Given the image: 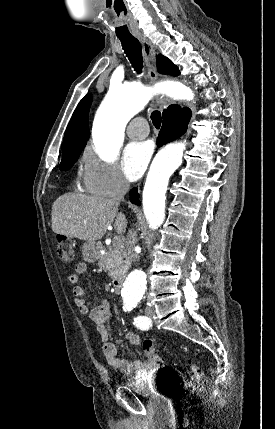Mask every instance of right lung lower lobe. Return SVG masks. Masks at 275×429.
<instances>
[{
  "instance_id": "right-lung-lower-lobe-1",
  "label": "right lung lower lobe",
  "mask_w": 275,
  "mask_h": 429,
  "mask_svg": "<svg viewBox=\"0 0 275 429\" xmlns=\"http://www.w3.org/2000/svg\"><path fill=\"white\" fill-rule=\"evenodd\" d=\"M190 117L191 111L186 107L171 105L165 109L163 111V125L158 136V146L167 144L184 134ZM129 195L132 203L140 205L137 188H133Z\"/></svg>"
}]
</instances>
